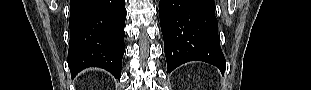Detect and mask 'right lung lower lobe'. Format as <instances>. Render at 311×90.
<instances>
[{
  "label": "right lung lower lobe",
  "instance_id": "obj_1",
  "mask_svg": "<svg viewBox=\"0 0 311 90\" xmlns=\"http://www.w3.org/2000/svg\"><path fill=\"white\" fill-rule=\"evenodd\" d=\"M125 19V0H70L72 78L87 67H100L120 78Z\"/></svg>",
  "mask_w": 311,
  "mask_h": 90
}]
</instances>
